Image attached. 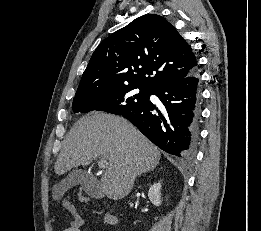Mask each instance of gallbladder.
<instances>
[{"label":"gallbladder","instance_id":"obj_1","mask_svg":"<svg viewBox=\"0 0 261 231\" xmlns=\"http://www.w3.org/2000/svg\"><path fill=\"white\" fill-rule=\"evenodd\" d=\"M75 185H81L91 196L103 195V192L100 189V183L94 176L88 174L83 169H74L55 186L54 196H62L65 191Z\"/></svg>","mask_w":261,"mask_h":231}]
</instances>
